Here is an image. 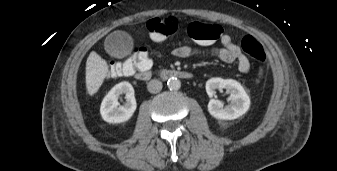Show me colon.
I'll return each instance as SVG.
<instances>
[{
	"instance_id": "1",
	"label": "colon",
	"mask_w": 337,
	"mask_h": 171,
	"mask_svg": "<svg viewBox=\"0 0 337 171\" xmlns=\"http://www.w3.org/2000/svg\"><path fill=\"white\" fill-rule=\"evenodd\" d=\"M178 27L179 22L173 16L152 18L147 23L150 37L155 41H163L175 34ZM187 34L192 40L212 43L220 38L222 28L217 24L194 21L189 24ZM241 47L259 65V76L262 77L266 55L261 43L252 35H245L241 40ZM150 65L151 61L147 50L143 47H135L127 58L115 61L109 66L108 75L111 77L130 76L140 69L149 68Z\"/></svg>"
}]
</instances>
